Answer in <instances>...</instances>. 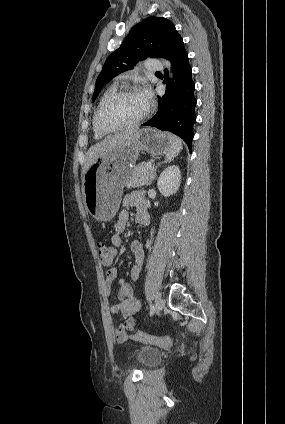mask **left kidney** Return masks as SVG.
Here are the masks:
<instances>
[{
  "label": "left kidney",
  "mask_w": 285,
  "mask_h": 424,
  "mask_svg": "<svg viewBox=\"0 0 285 424\" xmlns=\"http://www.w3.org/2000/svg\"><path fill=\"white\" fill-rule=\"evenodd\" d=\"M181 182L180 169L176 165L167 167L160 174L157 186L160 193L168 197L177 192Z\"/></svg>",
  "instance_id": "obj_1"
}]
</instances>
